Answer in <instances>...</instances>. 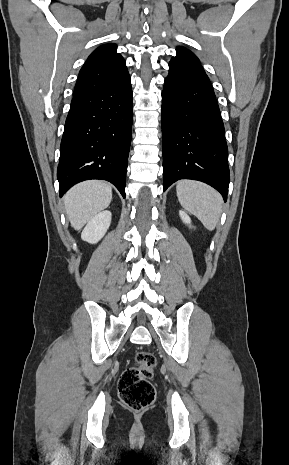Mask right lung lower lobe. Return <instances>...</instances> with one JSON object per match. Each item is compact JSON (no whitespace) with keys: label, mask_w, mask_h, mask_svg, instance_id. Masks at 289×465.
Here are the masks:
<instances>
[{"label":"right lung lower lobe","mask_w":289,"mask_h":465,"mask_svg":"<svg viewBox=\"0 0 289 465\" xmlns=\"http://www.w3.org/2000/svg\"><path fill=\"white\" fill-rule=\"evenodd\" d=\"M132 117L129 75L114 86L73 97L57 169L60 197L78 182L103 179L125 198Z\"/></svg>","instance_id":"1"}]
</instances>
